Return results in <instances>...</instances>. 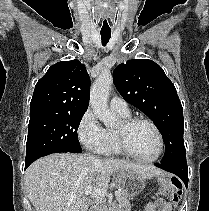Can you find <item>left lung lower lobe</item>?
<instances>
[{
	"label": "left lung lower lobe",
	"mask_w": 209,
	"mask_h": 211,
	"mask_svg": "<svg viewBox=\"0 0 209 211\" xmlns=\"http://www.w3.org/2000/svg\"><path fill=\"white\" fill-rule=\"evenodd\" d=\"M157 167L177 175L186 185H188V168L186 159H181L168 164H156Z\"/></svg>",
	"instance_id": "left-lung-lower-lobe-1"
}]
</instances>
